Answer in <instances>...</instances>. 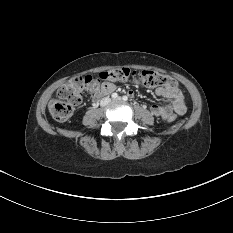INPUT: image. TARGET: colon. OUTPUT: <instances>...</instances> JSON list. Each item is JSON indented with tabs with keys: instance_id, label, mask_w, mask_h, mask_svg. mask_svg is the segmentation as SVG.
Masks as SVG:
<instances>
[{
	"instance_id": "5ec220e1",
	"label": "colon",
	"mask_w": 233,
	"mask_h": 233,
	"mask_svg": "<svg viewBox=\"0 0 233 233\" xmlns=\"http://www.w3.org/2000/svg\"><path fill=\"white\" fill-rule=\"evenodd\" d=\"M132 78H136L148 86H159L173 92L178 91L177 82L170 76L152 70L136 72L129 68H115L100 73L98 77L90 75L75 77L62 85L57 92L56 99L49 105L50 114L56 121H66L85 95H97L118 82H126ZM168 120L172 122L175 117Z\"/></svg>"
}]
</instances>
